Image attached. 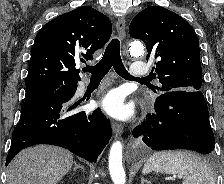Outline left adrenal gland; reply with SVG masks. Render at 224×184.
Wrapping results in <instances>:
<instances>
[{"instance_id":"1","label":"left adrenal gland","mask_w":224,"mask_h":184,"mask_svg":"<svg viewBox=\"0 0 224 184\" xmlns=\"http://www.w3.org/2000/svg\"><path fill=\"white\" fill-rule=\"evenodd\" d=\"M146 182V180L144 179V177H141V184H144Z\"/></svg>"}]
</instances>
